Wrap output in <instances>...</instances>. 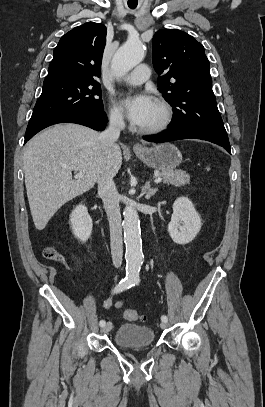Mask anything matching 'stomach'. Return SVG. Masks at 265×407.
<instances>
[{"instance_id":"obj_1","label":"stomach","mask_w":265,"mask_h":407,"mask_svg":"<svg viewBox=\"0 0 265 407\" xmlns=\"http://www.w3.org/2000/svg\"><path fill=\"white\" fill-rule=\"evenodd\" d=\"M135 154L147 166L161 171L174 170L182 162L181 152L171 143L144 147L136 150Z\"/></svg>"}]
</instances>
